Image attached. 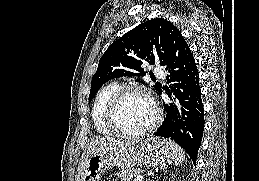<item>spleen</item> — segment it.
I'll use <instances>...</instances> for the list:
<instances>
[{
	"mask_svg": "<svg viewBox=\"0 0 259 181\" xmlns=\"http://www.w3.org/2000/svg\"><path fill=\"white\" fill-rule=\"evenodd\" d=\"M168 144L173 152V160H174L175 164L176 165L181 164L185 158L184 150L173 141H169Z\"/></svg>",
	"mask_w": 259,
	"mask_h": 181,
	"instance_id": "spleen-1",
	"label": "spleen"
}]
</instances>
